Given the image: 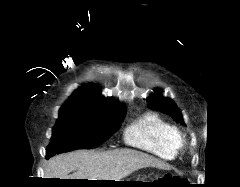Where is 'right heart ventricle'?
I'll return each instance as SVG.
<instances>
[{"mask_svg":"<svg viewBox=\"0 0 240 187\" xmlns=\"http://www.w3.org/2000/svg\"><path fill=\"white\" fill-rule=\"evenodd\" d=\"M124 140L128 145L164 160L177 158L181 147L179 129L152 112L131 123L125 130Z\"/></svg>","mask_w":240,"mask_h":187,"instance_id":"obj_1","label":"right heart ventricle"}]
</instances>
